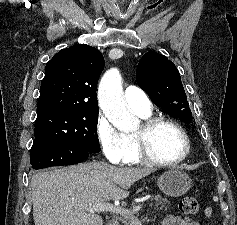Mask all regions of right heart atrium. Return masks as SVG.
<instances>
[{"label":"right heart atrium","mask_w":237,"mask_h":225,"mask_svg":"<svg viewBox=\"0 0 237 225\" xmlns=\"http://www.w3.org/2000/svg\"><path fill=\"white\" fill-rule=\"evenodd\" d=\"M96 137L106 158L113 164L128 162L133 152V144L119 133L110 120L104 115L98 117Z\"/></svg>","instance_id":"d8ad5b80"}]
</instances>
